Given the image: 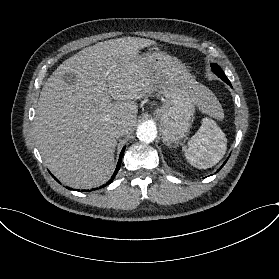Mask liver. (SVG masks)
I'll return each mask as SVG.
<instances>
[{
  "mask_svg": "<svg viewBox=\"0 0 279 279\" xmlns=\"http://www.w3.org/2000/svg\"><path fill=\"white\" fill-rule=\"evenodd\" d=\"M155 44L138 37L98 42L65 60L48 78L38 100L35 136L61 182L89 189L108 181L117 145L113 129L125 123L127 135L136 123V100L169 87L166 76L139 54ZM66 73L76 76L74 84L65 82ZM185 82L197 103L203 86L190 74Z\"/></svg>",
  "mask_w": 279,
  "mask_h": 279,
  "instance_id": "6515ba94",
  "label": "liver"
}]
</instances>
